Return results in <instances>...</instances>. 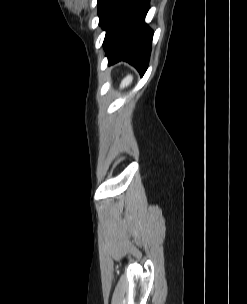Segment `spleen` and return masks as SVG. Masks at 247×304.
I'll use <instances>...</instances> for the list:
<instances>
[{
	"label": "spleen",
	"mask_w": 247,
	"mask_h": 304,
	"mask_svg": "<svg viewBox=\"0 0 247 304\" xmlns=\"http://www.w3.org/2000/svg\"><path fill=\"white\" fill-rule=\"evenodd\" d=\"M132 80H133V76H132V75H127V76L121 81L120 88H124V87L129 86V85L132 83Z\"/></svg>",
	"instance_id": "spleen-1"
}]
</instances>
